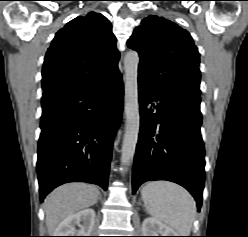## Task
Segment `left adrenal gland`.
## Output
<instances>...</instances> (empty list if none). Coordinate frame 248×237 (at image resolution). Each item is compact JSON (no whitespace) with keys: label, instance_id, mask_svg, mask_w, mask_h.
<instances>
[{"label":"left adrenal gland","instance_id":"1","mask_svg":"<svg viewBox=\"0 0 248 237\" xmlns=\"http://www.w3.org/2000/svg\"><path fill=\"white\" fill-rule=\"evenodd\" d=\"M138 204H141V201L139 200Z\"/></svg>","mask_w":248,"mask_h":237}]
</instances>
